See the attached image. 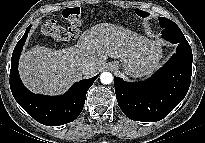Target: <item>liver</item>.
I'll use <instances>...</instances> for the list:
<instances>
[{
    "label": "liver",
    "mask_w": 205,
    "mask_h": 143,
    "mask_svg": "<svg viewBox=\"0 0 205 143\" xmlns=\"http://www.w3.org/2000/svg\"><path fill=\"white\" fill-rule=\"evenodd\" d=\"M156 49H160L159 43L129 29L99 23L84 31L74 46L54 50L37 45L25 51L20 57L19 73L29 90L60 94L82 77L85 62L95 65L94 74L102 70L108 57L120 60L127 74L140 66L150 73L158 64Z\"/></svg>",
    "instance_id": "obj_1"
}]
</instances>
